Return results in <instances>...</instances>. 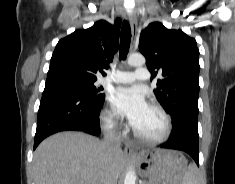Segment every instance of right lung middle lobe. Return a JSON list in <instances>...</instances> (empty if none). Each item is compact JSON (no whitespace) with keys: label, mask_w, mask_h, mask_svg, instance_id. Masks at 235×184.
<instances>
[{"label":"right lung middle lobe","mask_w":235,"mask_h":184,"mask_svg":"<svg viewBox=\"0 0 235 184\" xmlns=\"http://www.w3.org/2000/svg\"><path fill=\"white\" fill-rule=\"evenodd\" d=\"M62 84L79 90L81 93L101 101L105 99V94L102 93L103 88H96L93 81H86L77 78L67 77L62 80Z\"/></svg>","instance_id":"obj_1"}]
</instances>
